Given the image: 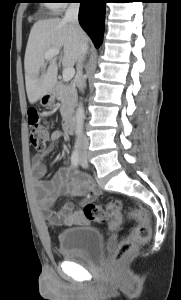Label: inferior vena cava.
<instances>
[{
	"label": "inferior vena cava",
	"mask_w": 181,
	"mask_h": 300,
	"mask_svg": "<svg viewBox=\"0 0 181 300\" xmlns=\"http://www.w3.org/2000/svg\"><path fill=\"white\" fill-rule=\"evenodd\" d=\"M79 3L78 2H72L68 9L66 10L65 16L63 20L65 22H70L74 25H78V13H79ZM88 50V45L87 43H81L80 45V55L78 57V63H77V68H78V87L80 90H82L85 86V81L82 78V62L84 60V57L87 53ZM88 145V139L82 134L79 136V144L78 147L79 149L85 147Z\"/></svg>",
	"instance_id": "1"
}]
</instances>
